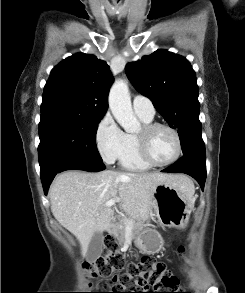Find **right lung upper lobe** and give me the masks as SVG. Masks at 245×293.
<instances>
[{
    "label": "right lung upper lobe",
    "mask_w": 245,
    "mask_h": 293,
    "mask_svg": "<svg viewBox=\"0 0 245 293\" xmlns=\"http://www.w3.org/2000/svg\"><path fill=\"white\" fill-rule=\"evenodd\" d=\"M113 77L106 62L74 54L51 71L44 87L41 114L64 112L103 117Z\"/></svg>",
    "instance_id": "cb5924a9"
}]
</instances>
